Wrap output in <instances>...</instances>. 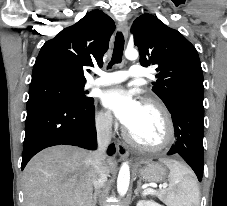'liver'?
<instances>
[{
	"label": "liver",
	"instance_id": "liver-1",
	"mask_svg": "<svg viewBox=\"0 0 227 206\" xmlns=\"http://www.w3.org/2000/svg\"><path fill=\"white\" fill-rule=\"evenodd\" d=\"M93 152L60 145L35 155L23 173L24 206H92ZM107 170L115 167L106 161Z\"/></svg>",
	"mask_w": 227,
	"mask_h": 206
}]
</instances>
